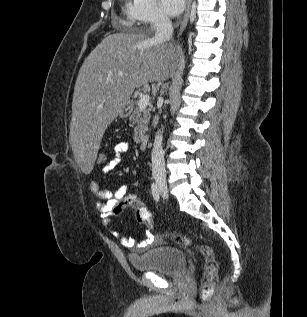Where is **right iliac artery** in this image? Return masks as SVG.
<instances>
[{
  "mask_svg": "<svg viewBox=\"0 0 307 317\" xmlns=\"http://www.w3.org/2000/svg\"><path fill=\"white\" fill-rule=\"evenodd\" d=\"M151 191H152V195H153V198L156 202L159 201V188H158V185L157 183L153 182L152 185H151Z\"/></svg>",
  "mask_w": 307,
  "mask_h": 317,
  "instance_id": "obj_1",
  "label": "right iliac artery"
}]
</instances>
